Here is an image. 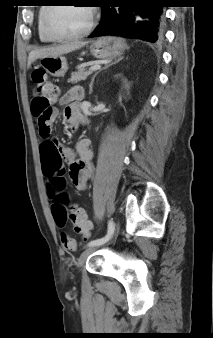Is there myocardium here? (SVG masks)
Instances as JSON below:
<instances>
[{
    "label": "myocardium",
    "instance_id": "myocardium-1",
    "mask_svg": "<svg viewBox=\"0 0 213 338\" xmlns=\"http://www.w3.org/2000/svg\"><path fill=\"white\" fill-rule=\"evenodd\" d=\"M85 1H88V0H85ZM55 7H58V6H54V5L48 6V9H47V11L44 15L43 23H42L43 32L49 40H51V41L75 40V39H79V38L87 36L93 30V28L96 24V18H97L98 10L95 6L87 4L85 7H87L90 11V19H89L88 25L82 31H80L78 33L70 34V35H56V34H54L49 28V17H50V14Z\"/></svg>",
    "mask_w": 213,
    "mask_h": 338
}]
</instances>
